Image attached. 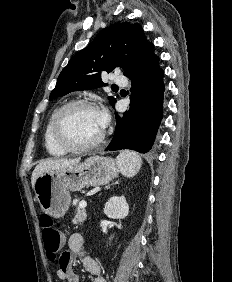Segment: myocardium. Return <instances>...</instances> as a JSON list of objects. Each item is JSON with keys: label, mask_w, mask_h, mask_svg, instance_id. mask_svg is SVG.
I'll use <instances>...</instances> for the list:
<instances>
[{"label": "myocardium", "mask_w": 232, "mask_h": 282, "mask_svg": "<svg viewBox=\"0 0 232 282\" xmlns=\"http://www.w3.org/2000/svg\"><path fill=\"white\" fill-rule=\"evenodd\" d=\"M74 107H87V108H92L96 110V105L85 99H78V100H72L67 103H65L63 106H61L58 111L56 112L53 121H52V126H51V134L53 137V140L55 143L63 148L66 151L69 152H83V151H89L92 149L97 148L100 146L106 136L105 130L103 129L101 135L93 142L88 143V144H83V145H77L73 144L69 141H67L60 133V125L61 121L66 114L68 110Z\"/></svg>", "instance_id": "myocardium-1"}]
</instances>
